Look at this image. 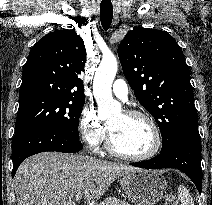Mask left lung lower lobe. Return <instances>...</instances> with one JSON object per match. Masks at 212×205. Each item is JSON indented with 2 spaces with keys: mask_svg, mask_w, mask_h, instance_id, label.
<instances>
[{
  "mask_svg": "<svg viewBox=\"0 0 212 205\" xmlns=\"http://www.w3.org/2000/svg\"><path fill=\"white\" fill-rule=\"evenodd\" d=\"M130 165L146 168H176L187 174L196 185L199 193L202 190L201 169V141L198 133V124L183 130L175 142L156 157Z\"/></svg>",
  "mask_w": 212,
  "mask_h": 205,
  "instance_id": "left-lung-lower-lobe-1",
  "label": "left lung lower lobe"
}]
</instances>
